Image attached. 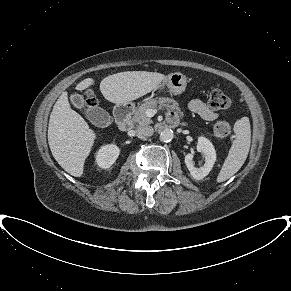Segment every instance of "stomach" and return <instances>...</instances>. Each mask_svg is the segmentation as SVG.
<instances>
[{
	"label": "stomach",
	"mask_w": 291,
	"mask_h": 291,
	"mask_svg": "<svg viewBox=\"0 0 291 291\" xmlns=\"http://www.w3.org/2000/svg\"><path fill=\"white\" fill-rule=\"evenodd\" d=\"M186 86V76L180 72H175L168 74L156 89L162 90L167 88L171 94L179 95L185 91Z\"/></svg>",
	"instance_id": "0dacf381"
}]
</instances>
